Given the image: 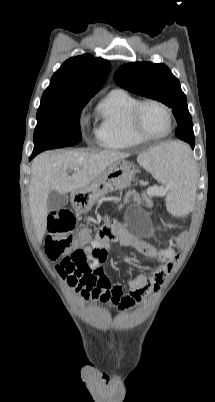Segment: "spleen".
<instances>
[{"mask_svg":"<svg viewBox=\"0 0 215 402\" xmlns=\"http://www.w3.org/2000/svg\"><path fill=\"white\" fill-rule=\"evenodd\" d=\"M137 160L159 182L171 186L166 208L173 214L189 215L198 191L200 170L193 169L188 143L171 141L139 155Z\"/></svg>","mask_w":215,"mask_h":402,"instance_id":"1","label":"spleen"}]
</instances>
